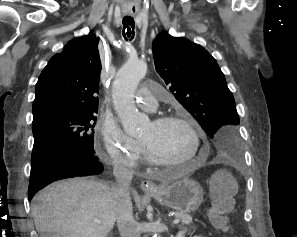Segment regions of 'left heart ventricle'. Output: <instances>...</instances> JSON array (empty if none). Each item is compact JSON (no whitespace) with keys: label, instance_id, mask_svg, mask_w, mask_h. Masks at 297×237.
Segmentation results:
<instances>
[{"label":"left heart ventricle","instance_id":"left-heart-ventricle-1","mask_svg":"<svg viewBox=\"0 0 297 237\" xmlns=\"http://www.w3.org/2000/svg\"><path fill=\"white\" fill-rule=\"evenodd\" d=\"M138 139L166 160H182L194 152V140L190 131L178 122L154 123L150 121Z\"/></svg>","mask_w":297,"mask_h":237}]
</instances>
